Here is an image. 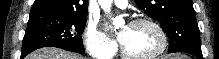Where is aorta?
I'll return each instance as SVG.
<instances>
[{"label":"aorta","instance_id":"1","mask_svg":"<svg viewBox=\"0 0 219 59\" xmlns=\"http://www.w3.org/2000/svg\"><path fill=\"white\" fill-rule=\"evenodd\" d=\"M99 4L106 13H110L112 0H99ZM113 24H117L116 19H113Z\"/></svg>","mask_w":219,"mask_h":59}]
</instances>
